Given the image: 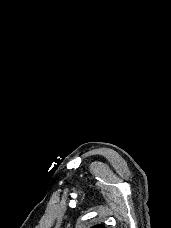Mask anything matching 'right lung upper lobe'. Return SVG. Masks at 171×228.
<instances>
[{
	"instance_id": "right-lung-upper-lobe-1",
	"label": "right lung upper lobe",
	"mask_w": 171,
	"mask_h": 228,
	"mask_svg": "<svg viewBox=\"0 0 171 228\" xmlns=\"http://www.w3.org/2000/svg\"><path fill=\"white\" fill-rule=\"evenodd\" d=\"M92 228H105V227L102 225H96V226H93Z\"/></svg>"
}]
</instances>
